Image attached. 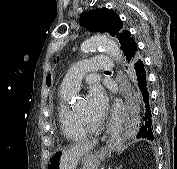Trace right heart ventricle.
<instances>
[{
  "mask_svg": "<svg viewBox=\"0 0 177 169\" xmlns=\"http://www.w3.org/2000/svg\"><path fill=\"white\" fill-rule=\"evenodd\" d=\"M76 91H65L60 89L58 102V121L62 135L68 141H80L88 136L78 126L69 101L75 95Z\"/></svg>",
  "mask_w": 177,
  "mask_h": 169,
  "instance_id": "right-heart-ventricle-1",
  "label": "right heart ventricle"
}]
</instances>
